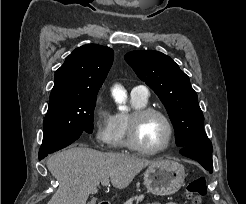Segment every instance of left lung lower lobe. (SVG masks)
I'll return each mask as SVG.
<instances>
[{"instance_id": "obj_1", "label": "left lung lower lobe", "mask_w": 246, "mask_h": 204, "mask_svg": "<svg viewBox=\"0 0 246 204\" xmlns=\"http://www.w3.org/2000/svg\"><path fill=\"white\" fill-rule=\"evenodd\" d=\"M180 153L183 156L198 161L207 171L212 173V144L209 139L186 145Z\"/></svg>"}]
</instances>
